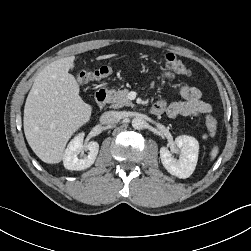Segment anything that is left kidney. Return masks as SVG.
I'll return each instance as SVG.
<instances>
[{
    "instance_id": "obj_1",
    "label": "left kidney",
    "mask_w": 251,
    "mask_h": 251,
    "mask_svg": "<svg viewBox=\"0 0 251 251\" xmlns=\"http://www.w3.org/2000/svg\"><path fill=\"white\" fill-rule=\"evenodd\" d=\"M175 144L180 150V157L177 160L166 147L160 148V159L164 168L173 176L178 178H188L195 170L199 143L198 141L188 135H181L176 137Z\"/></svg>"
}]
</instances>
